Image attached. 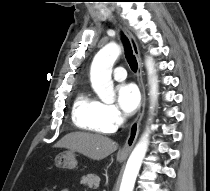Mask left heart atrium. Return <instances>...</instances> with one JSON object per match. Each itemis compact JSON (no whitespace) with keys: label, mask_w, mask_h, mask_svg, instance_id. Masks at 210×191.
Returning <instances> with one entry per match:
<instances>
[{"label":"left heart atrium","mask_w":210,"mask_h":191,"mask_svg":"<svg viewBox=\"0 0 210 191\" xmlns=\"http://www.w3.org/2000/svg\"><path fill=\"white\" fill-rule=\"evenodd\" d=\"M118 103L125 114L134 113L140 104V93L134 84H121L118 87Z\"/></svg>","instance_id":"obj_1"}]
</instances>
